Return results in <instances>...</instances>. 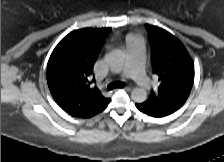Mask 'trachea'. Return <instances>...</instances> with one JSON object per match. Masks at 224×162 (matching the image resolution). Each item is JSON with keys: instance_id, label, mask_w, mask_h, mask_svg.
I'll return each mask as SVG.
<instances>
[{"instance_id": "obj_1", "label": "trachea", "mask_w": 224, "mask_h": 162, "mask_svg": "<svg viewBox=\"0 0 224 162\" xmlns=\"http://www.w3.org/2000/svg\"><path fill=\"white\" fill-rule=\"evenodd\" d=\"M124 83L123 82H121V81H116V82H112V83H110L108 86H107V89L108 90H113V89H115V88H122V87H124Z\"/></svg>"}]
</instances>
